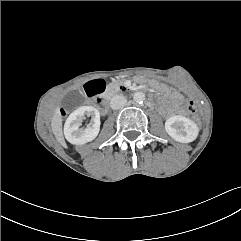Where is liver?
I'll return each instance as SVG.
<instances>
[{
  "label": "liver",
  "mask_w": 241,
  "mask_h": 241,
  "mask_svg": "<svg viewBox=\"0 0 241 241\" xmlns=\"http://www.w3.org/2000/svg\"><path fill=\"white\" fill-rule=\"evenodd\" d=\"M52 129L56 136L61 137L62 136V117L60 115L59 109H57V112L53 116L52 119Z\"/></svg>",
  "instance_id": "liver-1"
}]
</instances>
